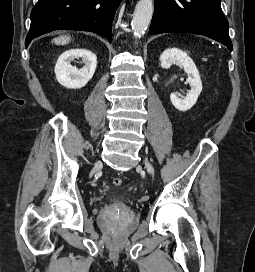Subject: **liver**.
<instances>
[{
  "label": "liver",
  "instance_id": "1",
  "mask_svg": "<svg viewBox=\"0 0 255 272\" xmlns=\"http://www.w3.org/2000/svg\"><path fill=\"white\" fill-rule=\"evenodd\" d=\"M70 40H71V38L69 35H63V36L53 39L52 42H54L57 45H64V44L69 43Z\"/></svg>",
  "mask_w": 255,
  "mask_h": 272
}]
</instances>
